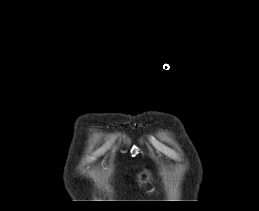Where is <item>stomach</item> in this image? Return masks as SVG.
Listing matches in <instances>:
<instances>
[{
    "mask_svg": "<svg viewBox=\"0 0 259 211\" xmlns=\"http://www.w3.org/2000/svg\"><path fill=\"white\" fill-rule=\"evenodd\" d=\"M151 180L152 174L147 170H143L137 175V182L141 185L147 184L148 182H151Z\"/></svg>",
    "mask_w": 259,
    "mask_h": 211,
    "instance_id": "1",
    "label": "stomach"
}]
</instances>
